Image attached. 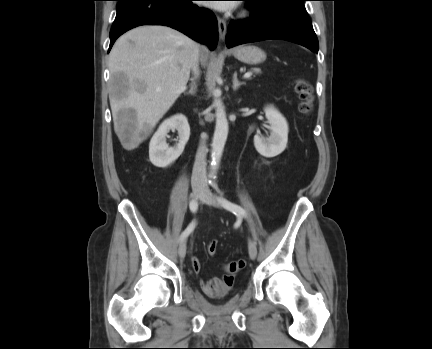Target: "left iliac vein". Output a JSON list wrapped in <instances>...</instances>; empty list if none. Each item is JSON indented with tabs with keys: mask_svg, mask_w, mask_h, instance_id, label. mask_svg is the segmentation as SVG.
Masks as SVG:
<instances>
[{
	"mask_svg": "<svg viewBox=\"0 0 432 349\" xmlns=\"http://www.w3.org/2000/svg\"><path fill=\"white\" fill-rule=\"evenodd\" d=\"M203 202L213 205L215 207H220L221 204L218 200V197L214 195L209 189H204V192L200 198ZM248 252L251 259H255L257 256V246L253 239H249L248 241Z\"/></svg>",
	"mask_w": 432,
	"mask_h": 349,
	"instance_id": "4c4485c4",
	"label": "left iliac vein"
}]
</instances>
